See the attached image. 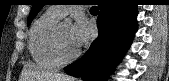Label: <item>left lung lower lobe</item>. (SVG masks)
<instances>
[{"label":"left lung lower lobe","instance_id":"0a47b994","mask_svg":"<svg viewBox=\"0 0 169 81\" xmlns=\"http://www.w3.org/2000/svg\"><path fill=\"white\" fill-rule=\"evenodd\" d=\"M98 6V38L81 59L64 68L72 76L81 75L84 81H105L129 48L137 30V5L117 0L111 5L103 1Z\"/></svg>","mask_w":169,"mask_h":81}]
</instances>
